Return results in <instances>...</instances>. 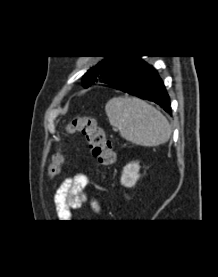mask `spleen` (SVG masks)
<instances>
[{
  "instance_id": "1",
  "label": "spleen",
  "mask_w": 218,
  "mask_h": 277,
  "mask_svg": "<svg viewBox=\"0 0 218 277\" xmlns=\"http://www.w3.org/2000/svg\"><path fill=\"white\" fill-rule=\"evenodd\" d=\"M105 111L111 126L122 138L141 146H156L167 142L171 126L166 117L147 102L135 97H114Z\"/></svg>"
}]
</instances>
